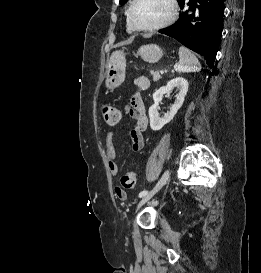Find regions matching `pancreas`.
Segmentation results:
<instances>
[{
  "mask_svg": "<svg viewBox=\"0 0 261 273\" xmlns=\"http://www.w3.org/2000/svg\"><path fill=\"white\" fill-rule=\"evenodd\" d=\"M150 73L153 76V81H159L161 79V75L158 71L151 70Z\"/></svg>",
  "mask_w": 261,
  "mask_h": 273,
  "instance_id": "obj_1",
  "label": "pancreas"
}]
</instances>
